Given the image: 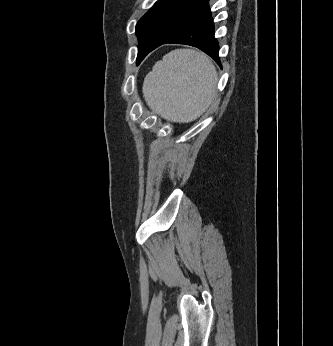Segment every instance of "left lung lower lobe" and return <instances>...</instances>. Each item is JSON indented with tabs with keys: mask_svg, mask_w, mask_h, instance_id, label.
I'll list each match as a JSON object with an SVG mask.
<instances>
[{
	"mask_svg": "<svg viewBox=\"0 0 333 346\" xmlns=\"http://www.w3.org/2000/svg\"><path fill=\"white\" fill-rule=\"evenodd\" d=\"M162 44H185L197 47L220 64L218 56L219 44L214 37V22L209 4L169 37L153 44L147 51V54Z\"/></svg>",
	"mask_w": 333,
	"mask_h": 346,
	"instance_id": "left-lung-lower-lobe-1",
	"label": "left lung lower lobe"
}]
</instances>
